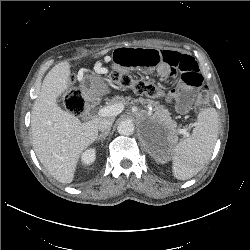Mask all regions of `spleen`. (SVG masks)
<instances>
[{"label": "spleen", "instance_id": "1", "mask_svg": "<svg viewBox=\"0 0 250 250\" xmlns=\"http://www.w3.org/2000/svg\"><path fill=\"white\" fill-rule=\"evenodd\" d=\"M215 108L202 110L190 137L179 142L172 153L173 175L178 180L195 176L210 159L218 134Z\"/></svg>", "mask_w": 250, "mask_h": 250}]
</instances>
